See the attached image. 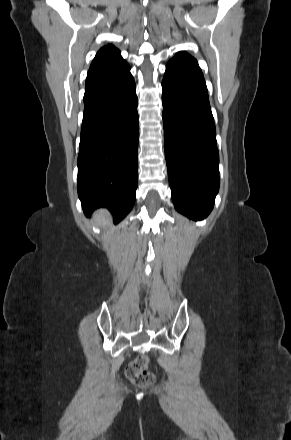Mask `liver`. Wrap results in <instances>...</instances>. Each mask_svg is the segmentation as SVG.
I'll list each match as a JSON object with an SVG mask.
<instances>
[{
	"mask_svg": "<svg viewBox=\"0 0 291 440\" xmlns=\"http://www.w3.org/2000/svg\"><path fill=\"white\" fill-rule=\"evenodd\" d=\"M95 221L99 226L105 227L109 225V215L105 210H100L95 215Z\"/></svg>",
	"mask_w": 291,
	"mask_h": 440,
	"instance_id": "liver-1",
	"label": "liver"
}]
</instances>
